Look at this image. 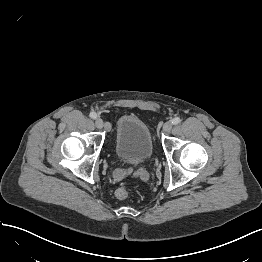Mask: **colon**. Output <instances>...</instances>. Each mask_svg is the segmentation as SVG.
Instances as JSON below:
<instances>
[{"label": "colon", "mask_w": 262, "mask_h": 262, "mask_svg": "<svg viewBox=\"0 0 262 262\" xmlns=\"http://www.w3.org/2000/svg\"><path fill=\"white\" fill-rule=\"evenodd\" d=\"M115 196L117 199L125 200L129 196V191L126 186H119L115 191Z\"/></svg>", "instance_id": "obj_1"}]
</instances>
